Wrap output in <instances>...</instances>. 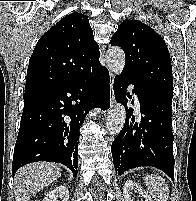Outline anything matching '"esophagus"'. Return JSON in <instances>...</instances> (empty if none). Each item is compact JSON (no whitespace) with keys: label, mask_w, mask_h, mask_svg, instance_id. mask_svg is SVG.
Here are the masks:
<instances>
[{"label":"esophagus","mask_w":196,"mask_h":201,"mask_svg":"<svg viewBox=\"0 0 196 201\" xmlns=\"http://www.w3.org/2000/svg\"><path fill=\"white\" fill-rule=\"evenodd\" d=\"M113 83H114V79L112 77L111 81H110V89H111V105L114 106L115 104V96H114V89H113Z\"/></svg>","instance_id":"esophagus-1"}]
</instances>
